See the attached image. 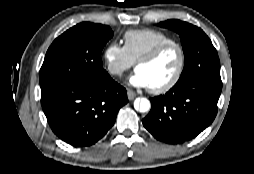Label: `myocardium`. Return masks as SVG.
<instances>
[{
  "label": "myocardium",
  "mask_w": 254,
  "mask_h": 174,
  "mask_svg": "<svg viewBox=\"0 0 254 174\" xmlns=\"http://www.w3.org/2000/svg\"><path fill=\"white\" fill-rule=\"evenodd\" d=\"M170 48L177 49L179 53V65H178L177 71L174 74L173 78L170 81H168L166 84L160 87L150 88V92L153 94H163L170 91L173 87L176 86V84L181 79L185 69V65H186V53L183 46L176 41H171V42L161 44L155 47L153 50H151L149 53H147L145 56H143L136 62V68L141 64L151 63L152 61L157 59L163 52H165L166 50Z\"/></svg>",
  "instance_id": "f54148a6"
}]
</instances>
